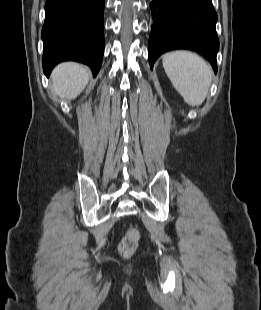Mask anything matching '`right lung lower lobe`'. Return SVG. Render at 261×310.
<instances>
[{
	"label": "right lung lower lobe",
	"instance_id": "obj_1",
	"mask_svg": "<svg viewBox=\"0 0 261 310\" xmlns=\"http://www.w3.org/2000/svg\"><path fill=\"white\" fill-rule=\"evenodd\" d=\"M104 0H47L42 28L44 73L65 60L100 70L104 51Z\"/></svg>",
	"mask_w": 261,
	"mask_h": 310
}]
</instances>
